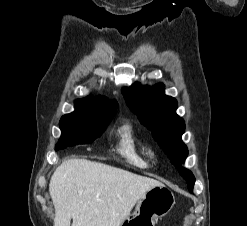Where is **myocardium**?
Returning <instances> with one entry per match:
<instances>
[{"mask_svg":"<svg viewBox=\"0 0 247 226\" xmlns=\"http://www.w3.org/2000/svg\"><path fill=\"white\" fill-rule=\"evenodd\" d=\"M150 155H152V156H153V155H154V153H153L152 151H150Z\"/></svg>","mask_w":247,"mask_h":226,"instance_id":"myocardium-1","label":"myocardium"}]
</instances>
